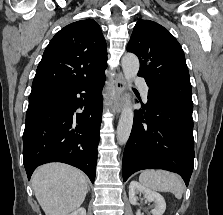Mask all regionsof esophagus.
Listing matches in <instances>:
<instances>
[{"instance_id":"34e87169","label":"esophagus","mask_w":223,"mask_h":215,"mask_svg":"<svg viewBox=\"0 0 223 215\" xmlns=\"http://www.w3.org/2000/svg\"><path fill=\"white\" fill-rule=\"evenodd\" d=\"M125 90V81L122 73H119L115 79V90L112 94L113 110L120 113L123 107V92Z\"/></svg>"}]
</instances>
